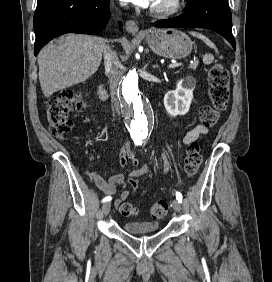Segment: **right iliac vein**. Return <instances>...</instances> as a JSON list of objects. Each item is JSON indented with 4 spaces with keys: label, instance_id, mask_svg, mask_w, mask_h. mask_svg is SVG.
<instances>
[{
    "label": "right iliac vein",
    "instance_id": "obj_1",
    "mask_svg": "<svg viewBox=\"0 0 272 282\" xmlns=\"http://www.w3.org/2000/svg\"><path fill=\"white\" fill-rule=\"evenodd\" d=\"M110 209H111V204H110V202H105V203L102 205V212H103V214H104L105 216L109 214Z\"/></svg>",
    "mask_w": 272,
    "mask_h": 282
}]
</instances>
